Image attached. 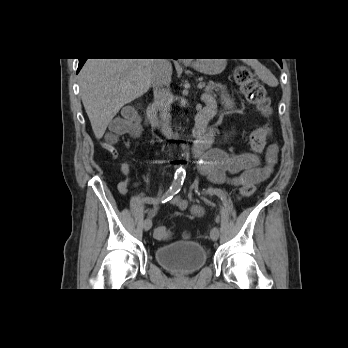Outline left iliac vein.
I'll return each mask as SVG.
<instances>
[{
    "label": "left iliac vein",
    "mask_w": 348,
    "mask_h": 348,
    "mask_svg": "<svg viewBox=\"0 0 348 348\" xmlns=\"http://www.w3.org/2000/svg\"><path fill=\"white\" fill-rule=\"evenodd\" d=\"M210 238L213 241H216L219 238V229L217 227H213L210 231Z\"/></svg>",
    "instance_id": "1"
}]
</instances>
